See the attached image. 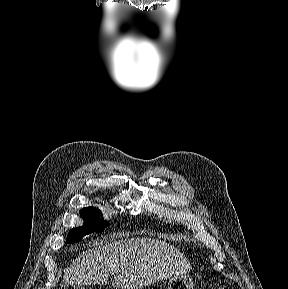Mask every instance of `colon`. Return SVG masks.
<instances>
[{
	"label": "colon",
	"mask_w": 288,
	"mask_h": 289,
	"mask_svg": "<svg viewBox=\"0 0 288 289\" xmlns=\"http://www.w3.org/2000/svg\"><path fill=\"white\" fill-rule=\"evenodd\" d=\"M75 289H82V288H75ZM219 289H231L229 287H220Z\"/></svg>",
	"instance_id": "obj_1"
}]
</instances>
